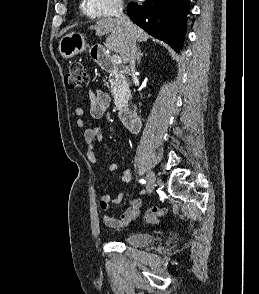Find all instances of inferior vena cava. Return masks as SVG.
I'll return each instance as SVG.
<instances>
[{
  "mask_svg": "<svg viewBox=\"0 0 259 294\" xmlns=\"http://www.w3.org/2000/svg\"><path fill=\"white\" fill-rule=\"evenodd\" d=\"M115 17L120 21L126 33L128 34V56H129L131 71L132 73H134L136 53H137L136 41L132 35V22L126 15H124L123 7L121 3H119L116 8Z\"/></svg>",
  "mask_w": 259,
  "mask_h": 294,
  "instance_id": "1",
  "label": "inferior vena cava"
}]
</instances>
